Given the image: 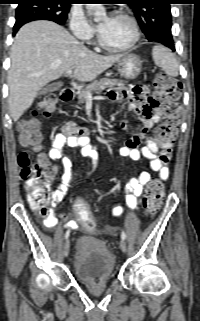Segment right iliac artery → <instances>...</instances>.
<instances>
[{
    "label": "right iliac artery",
    "mask_w": 200,
    "mask_h": 321,
    "mask_svg": "<svg viewBox=\"0 0 200 321\" xmlns=\"http://www.w3.org/2000/svg\"><path fill=\"white\" fill-rule=\"evenodd\" d=\"M69 233H70L69 230L65 233V239H67L69 237Z\"/></svg>",
    "instance_id": "right-iliac-artery-1"
}]
</instances>
